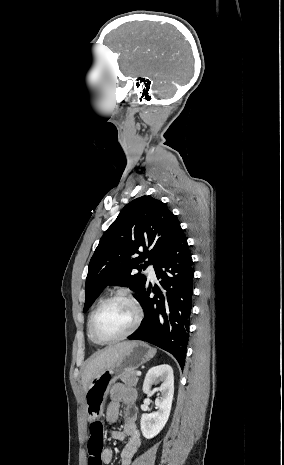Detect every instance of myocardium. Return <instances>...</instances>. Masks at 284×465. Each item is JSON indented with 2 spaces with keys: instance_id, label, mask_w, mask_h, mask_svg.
I'll list each match as a JSON object with an SVG mask.
<instances>
[{
  "instance_id": "obj_1",
  "label": "myocardium",
  "mask_w": 284,
  "mask_h": 465,
  "mask_svg": "<svg viewBox=\"0 0 284 465\" xmlns=\"http://www.w3.org/2000/svg\"><path fill=\"white\" fill-rule=\"evenodd\" d=\"M116 301L126 302V303L131 305V307L134 309L135 316H136L135 317V322L132 325L131 329L126 334H124L123 336L118 337L116 339H112V340H101L96 336L95 330H94L96 319L99 316V314L101 313V311L107 305H109L110 303L116 302ZM142 319H143L142 307H141L139 301L134 296L129 295V294H125V293L115 294V295H112V296L104 299L97 306L95 311L93 312V315H92L91 320H90V335H91L93 341L95 343L99 344V345L116 344V343H119L121 341H124V340L130 338L137 331V329L139 328V326H140V324L142 322Z\"/></svg>"
}]
</instances>
